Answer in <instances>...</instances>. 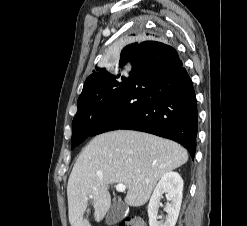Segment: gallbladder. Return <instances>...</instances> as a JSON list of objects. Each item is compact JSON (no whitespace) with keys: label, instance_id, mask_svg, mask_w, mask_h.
Listing matches in <instances>:
<instances>
[{"label":"gallbladder","instance_id":"bac80fb5","mask_svg":"<svg viewBox=\"0 0 247 226\" xmlns=\"http://www.w3.org/2000/svg\"><path fill=\"white\" fill-rule=\"evenodd\" d=\"M127 205L123 201L115 200L106 216V224L111 226L121 221L126 215Z\"/></svg>","mask_w":247,"mask_h":226}]
</instances>
